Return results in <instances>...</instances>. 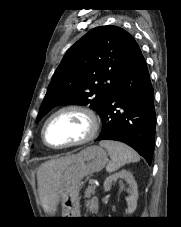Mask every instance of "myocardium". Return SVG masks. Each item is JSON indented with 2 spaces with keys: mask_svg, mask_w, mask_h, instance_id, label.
Here are the masks:
<instances>
[{
  "mask_svg": "<svg viewBox=\"0 0 181 227\" xmlns=\"http://www.w3.org/2000/svg\"><path fill=\"white\" fill-rule=\"evenodd\" d=\"M64 112H76L83 115L87 120L88 130L86 134L80 139H77L75 141H72L63 145H53L49 143L47 140L46 130L51 120ZM98 129H99V120L92 109L83 105L69 104L57 109L46 119L41 130V137L46 146L53 149H64V148L79 146V145L88 143L96 136Z\"/></svg>",
  "mask_w": 181,
  "mask_h": 227,
  "instance_id": "f54148a6",
  "label": "myocardium"
}]
</instances>
